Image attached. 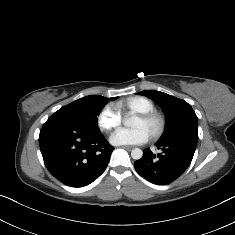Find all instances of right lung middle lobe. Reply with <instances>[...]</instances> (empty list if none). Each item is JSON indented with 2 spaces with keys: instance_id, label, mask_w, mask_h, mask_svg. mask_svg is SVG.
I'll return each mask as SVG.
<instances>
[{
  "instance_id": "obj_1",
  "label": "right lung middle lobe",
  "mask_w": 235,
  "mask_h": 235,
  "mask_svg": "<svg viewBox=\"0 0 235 235\" xmlns=\"http://www.w3.org/2000/svg\"><path fill=\"white\" fill-rule=\"evenodd\" d=\"M115 99H117V97L110 98V100ZM108 101L109 99L106 97H102L99 100L83 97L60 108L51 117L64 118L86 128L99 130L97 115Z\"/></svg>"
}]
</instances>
